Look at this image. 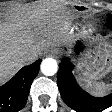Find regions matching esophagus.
<instances>
[{
    "instance_id": "1",
    "label": "esophagus",
    "mask_w": 112,
    "mask_h": 112,
    "mask_svg": "<svg viewBox=\"0 0 112 112\" xmlns=\"http://www.w3.org/2000/svg\"><path fill=\"white\" fill-rule=\"evenodd\" d=\"M59 55H60V52H59L58 49H53V50L51 51V56H53V57H58Z\"/></svg>"
}]
</instances>
